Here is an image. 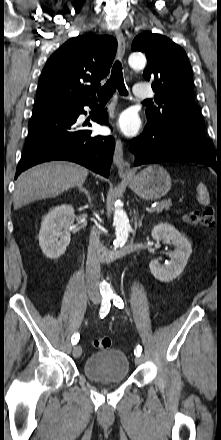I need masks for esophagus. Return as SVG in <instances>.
<instances>
[{
  "label": "esophagus",
  "mask_w": 221,
  "mask_h": 440,
  "mask_svg": "<svg viewBox=\"0 0 221 440\" xmlns=\"http://www.w3.org/2000/svg\"><path fill=\"white\" fill-rule=\"evenodd\" d=\"M116 39L118 42V57L119 59H122L125 54L126 42L123 33L120 30L116 31ZM113 162L118 168V174L120 177H126L129 174L131 170L130 163L123 157V143L119 137L116 139Z\"/></svg>",
  "instance_id": "esophagus-1"
}]
</instances>
